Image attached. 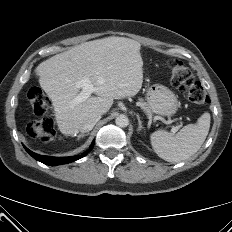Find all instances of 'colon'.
<instances>
[{
    "mask_svg": "<svg viewBox=\"0 0 232 232\" xmlns=\"http://www.w3.org/2000/svg\"><path fill=\"white\" fill-rule=\"evenodd\" d=\"M171 72V83L179 91L187 95L188 100L193 104H206L209 97L190 70L184 63L178 60L169 62ZM27 98L37 115H44L51 106L46 94L39 87H32L27 93ZM27 134L31 138L47 142L55 138L53 121L48 117L31 121L27 126Z\"/></svg>",
    "mask_w": 232,
    "mask_h": 232,
    "instance_id": "colon-1",
    "label": "colon"
}]
</instances>
